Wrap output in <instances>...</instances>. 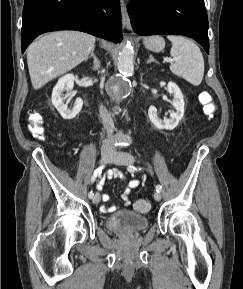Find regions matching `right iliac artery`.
Here are the masks:
<instances>
[{"mask_svg":"<svg viewBox=\"0 0 243 289\" xmlns=\"http://www.w3.org/2000/svg\"><path fill=\"white\" fill-rule=\"evenodd\" d=\"M103 168H104V165L101 166V167H98L97 169H95V171L93 172V174H92V176H91V182H92V183H93V182L96 180V178L101 174V171H102ZM93 196H94V193H93L92 191L89 192L88 197H89L90 199H92Z\"/></svg>","mask_w":243,"mask_h":289,"instance_id":"obj_1","label":"right iliac artery"}]
</instances>
